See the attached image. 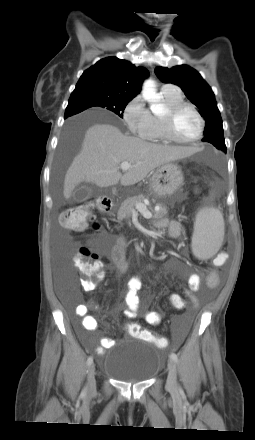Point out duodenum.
Wrapping results in <instances>:
<instances>
[{
  "label": "duodenum",
  "instance_id": "1",
  "mask_svg": "<svg viewBox=\"0 0 255 440\" xmlns=\"http://www.w3.org/2000/svg\"><path fill=\"white\" fill-rule=\"evenodd\" d=\"M113 203L109 199H99L98 200V208L101 212L108 213L112 210Z\"/></svg>",
  "mask_w": 255,
  "mask_h": 440
}]
</instances>
